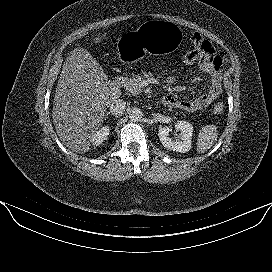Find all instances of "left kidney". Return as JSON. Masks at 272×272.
<instances>
[{
    "mask_svg": "<svg viewBox=\"0 0 272 272\" xmlns=\"http://www.w3.org/2000/svg\"><path fill=\"white\" fill-rule=\"evenodd\" d=\"M175 129L180 131L179 139H172L170 132L172 129L168 126L161 127L159 129V139L165 148L170 150L185 153L191 149L193 126L187 121H178L175 124Z\"/></svg>",
    "mask_w": 272,
    "mask_h": 272,
    "instance_id": "obj_1",
    "label": "left kidney"
}]
</instances>
